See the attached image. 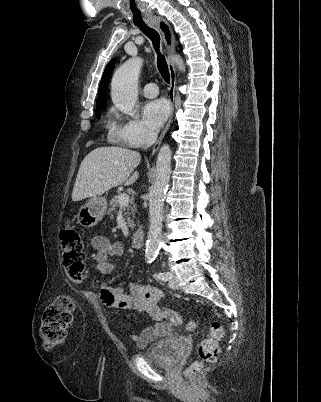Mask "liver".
<instances>
[{"instance_id": "6515ba94", "label": "liver", "mask_w": 321, "mask_h": 402, "mask_svg": "<svg viewBox=\"0 0 321 402\" xmlns=\"http://www.w3.org/2000/svg\"><path fill=\"white\" fill-rule=\"evenodd\" d=\"M140 161V154L131 149L113 146L94 149L81 162L72 200L100 196L113 187L135 183L138 172L134 169Z\"/></svg>"}]
</instances>
